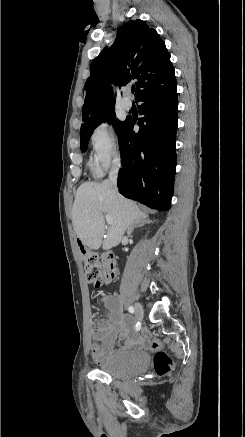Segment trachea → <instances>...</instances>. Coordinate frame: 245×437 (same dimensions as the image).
Returning a JSON list of instances; mask_svg holds the SVG:
<instances>
[{
  "instance_id": "trachea-1",
  "label": "trachea",
  "mask_w": 245,
  "mask_h": 437,
  "mask_svg": "<svg viewBox=\"0 0 245 437\" xmlns=\"http://www.w3.org/2000/svg\"><path fill=\"white\" fill-rule=\"evenodd\" d=\"M131 91H132V93H134V91H135V88L133 87V88L131 89Z\"/></svg>"
}]
</instances>
